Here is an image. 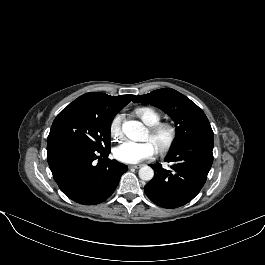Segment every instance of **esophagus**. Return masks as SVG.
<instances>
[{
    "instance_id": "esophagus-1",
    "label": "esophagus",
    "mask_w": 265,
    "mask_h": 265,
    "mask_svg": "<svg viewBox=\"0 0 265 265\" xmlns=\"http://www.w3.org/2000/svg\"><path fill=\"white\" fill-rule=\"evenodd\" d=\"M142 165H129V168H133V169H137L139 167H141Z\"/></svg>"
}]
</instances>
